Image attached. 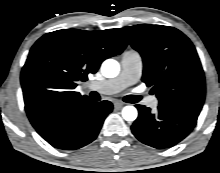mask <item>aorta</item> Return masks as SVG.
Instances as JSON below:
<instances>
[{"mask_svg":"<svg viewBox=\"0 0 220 173\" xmlns=\"http://www.w3.org/2000/svg\"><path fill=\"white\" fill-rule=\"evenodd\" d=\"M101 72L106 78H114L120 72V65L114 59H107L101 66ZM121 114L123 119L127 122H133L138 117V111L134 106H125L122 109Z\"/></svg>","mask_w":220,"mask_h":173,"instance_id":"762f6f07","label":"aorta"}]
</instances>
